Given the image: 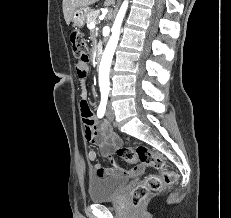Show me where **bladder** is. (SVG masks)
<instances>
[{
	"label": "bladder",
	"mask_w": 231,
	"mask_h": 218,
	"mask_svg": "<svg viewBox=\"0 0 231 218\" xmlns=\"http://www.w3.org/2000/svg\"><path fill=\"white\" fill-rule=\"evenodd\" d=\"M128 180L121 176L89 175L88 198L92 203H103L116 199Z\"/></svg>",
	"instance_id": "31cf9c89"
}]
</instances>
